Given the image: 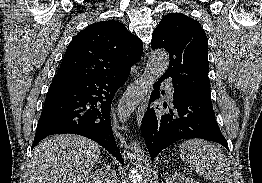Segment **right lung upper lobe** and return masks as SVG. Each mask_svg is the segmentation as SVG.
<instances>
[{
  "instance_id": "right-lung-upper-lobe-1",
  "label": "right lung upper lobe",
  "mask_w": 262,
  "mask_h": 183,
  "mask_svg": "<svg viewBox=\"0 0 262 183\" xmlns=\"http://www.w3.org/2000/svg\"><path fill=\"white\" fill-rule=\"evenodd\" d=\"M142 52V41L122 23H93L72 39L53 82L123 74L141 58Z\"/></svg>"
}]
</instances>
